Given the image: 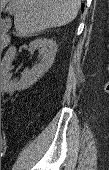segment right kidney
I'll list each match as a JSON object with an SVG mask.
<instances>
[{"label":"right kidney","instance_id":"right-kidney-1","mask_svg":"<svg viewBox=\"0 0 109 170\" xmlns=\"http://www.w3.org/2000/svg\"><path fill=\"white\" fill-rule=\"evenodd\" d=\"M29 47L31 52L38 49V61L26 71L25 82L36 79L42 74L51 65L56 53V43L47 38L36 39L30 43Z\"/></svg>","mask_w":109,"mask_h":170}]
</instances>
